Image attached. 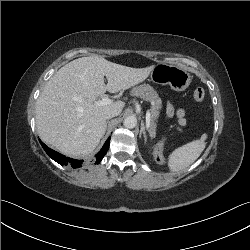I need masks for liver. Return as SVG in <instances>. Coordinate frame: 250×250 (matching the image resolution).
Masks as SVG:
<instances>
[{"mask_svg":"<svg viewBox=\"0 0 250 250\" xmlns=\"http://www.w3.org/2000/svg\"><path fill=\"white\" fill-rule=\"evenodd\" d=\"M153 68H131L99 56L78 58L64 65L50 78L36 102L40 138L65 155H89L105 134L106 113L111 109L122 111L125 106L123 101L98 105V97L143 82Z\"/></svg>","mask_w":250,"mask_h":250,"instance_id":"6515ba94","label":"liver"}]
</instances>
